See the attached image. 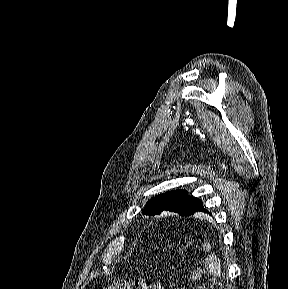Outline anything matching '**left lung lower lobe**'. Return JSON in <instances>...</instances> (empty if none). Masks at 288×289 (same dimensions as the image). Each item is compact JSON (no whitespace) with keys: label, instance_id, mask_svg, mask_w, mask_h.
<instances>
[{"label":"left lung lower lobe","instance_id":"obj_1","mask_svg":"<svg viewBox=\"0 0 288 289\" xmlns=\"http://www.w3.org/2000/svg\"><path fill=\"white\" fill-rule=\"evenodd\" d=\"M195 212H205L207 213L208 211L202 206V202L195 208L194 212L192 214H194ZM190 214V215H192ZM189 215V216H190Z\"/></svg>","mask_w":288,"mask_h":289}]
</instances>
